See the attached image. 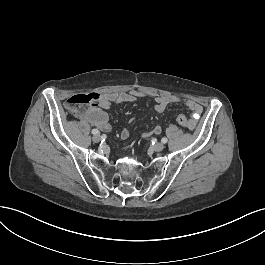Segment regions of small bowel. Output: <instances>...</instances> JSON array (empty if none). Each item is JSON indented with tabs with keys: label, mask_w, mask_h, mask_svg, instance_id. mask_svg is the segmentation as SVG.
<instances>
[{
	"label": "small bowel",
	"mask_w": 265,
	"mask_h": 265,
	"mask_svg": "<svg viewBox=\"0 0 265 265\" xmlns=\"http://www.w3.org/2000/svg\"><path fill=\"white\" fill-rule=\"evenodd\" d=\"M145 95L141 92H124L115 91L104 93L100 95V98L87 108L81 109L76 112V116L91 125L106 129L108 126V116L106 111L110 109L111 106L120 103H131L136 101L138 98H142ZM155 105L154 111L156 113H162L171 104H183L187 109L191 111L188 120L191 125L188 129H194L198 123V120L203 112V108L200 103L190 98H180L175 95H158L154 98ZM162 131L161 126L157 125L152 129V133L159 134ZM120 137L122 140H127L129 138V131L127 129H122L120 132Z\"/></svg>",
	"instance_id": "1"
}]
</instances>
